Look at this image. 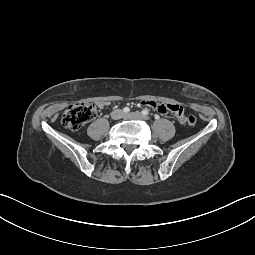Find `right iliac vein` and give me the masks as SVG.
<instances>
[{
	"instance_id": "1",
	"label": "right iliac vein",
	"mask_w": 255,
	"mask_h": 255,
	"mask_svg": "<svg viewBox=\"0 0 255 255\" xmlns=\"http://www.w3.org/2000/svg\"><path fill=\"white\" fill-rule=\"evenodd\" d=\"M123 116H124V113H123V111L120 110V109L114 110V111L111 113V118H112L113 120H119V119H121Z\"/></svg>"
}]
</instances>
